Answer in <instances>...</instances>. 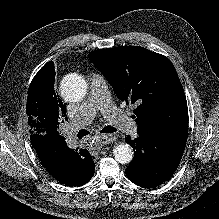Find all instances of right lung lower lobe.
<instances>
[{
  "label": "right lung lower lobe",
  "mask_w": 219,
  "mask_h": 219,
  "mask_svg": "<svg viewBox=\"0 0 219 219\" xmlns=\"http://www.w3.org/2000/svg\"><path fill=\"white\" fill-rule=\"evenodd\" d=\"M31 144L46 170L60 183L81 186L93 177L94 157L85 149H70L64 137L44 135Z\"/></svg>",
  "instance_id": "right-lung-lower-lobe-1"
}]
</instances>
